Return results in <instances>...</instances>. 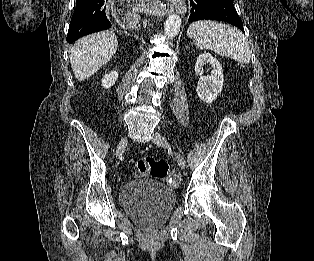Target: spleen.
Masks as SVG:
<instances>
[{"instance_id": "obj_1", "label": "spleen", "mask_w": 314, "mask_h": 261, "mask_svg": "<svg viewBox=\"0 0 314 261\" xmlns=\"http://www.w3.org/2000/svg\"><path fill=\"white\" fill-rule=\"evenodd\" d=\"M187 35L200 50H212L240 64L250 62L251 50L245 36L230 25L209 20L196 21L189 26Z\"/></svg>"}]
</instances>
